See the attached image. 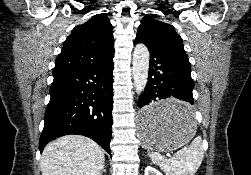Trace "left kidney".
Wrapping results in <instances>:
<instances>
[{"label": "left kidney", "mask_w": 251, "mask_h": 175, "mask_svg": "<svg viewBox=\"0 0 251 175\" xmlns=\"http://www.w3.org/2000/svg\"><path fill=\"white\" fill-rule=\"evenodd\" d=\"M144 175H163V173H161V171H158V169H155V167L147 165V167H145Z\"/></svg>", "instance_id": "obj_1"}]
</instances>
